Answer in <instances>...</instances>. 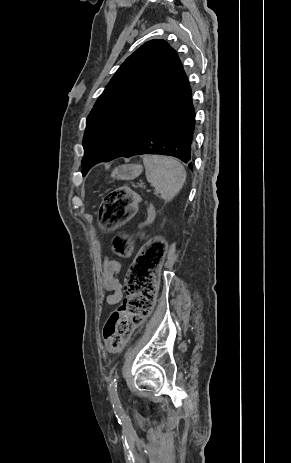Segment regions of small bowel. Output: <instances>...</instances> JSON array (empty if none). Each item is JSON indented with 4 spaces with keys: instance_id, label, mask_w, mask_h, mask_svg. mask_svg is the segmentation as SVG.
Here are the masks:
<instances>
[{
    "instance_id": "1",
    "label": "small bowel",
    "mask_w": 291,
    "mask_h": 463,
    "mask_svg": "<svg viewBox=\"0 0 291 463\" xmlns=\"http://www.w3.org/2000/svg\"><path fill=\"white\" fill-rule=\"evenodd\" d=\"M122 269L123 265L118 260L106 259L103 263L101 276L104 287L109 292L106 298L108 305L117 304L123 296L122 284L118 278Z\"/></svg>"
}]
</instances>
